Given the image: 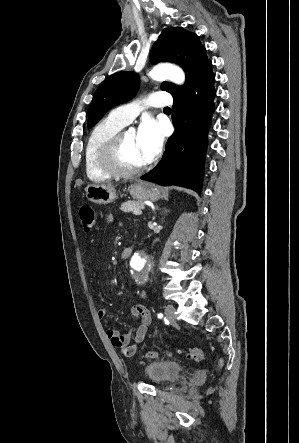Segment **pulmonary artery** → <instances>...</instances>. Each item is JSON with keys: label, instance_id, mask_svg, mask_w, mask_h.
I'll list each match as a JSON object with an SVG mask.
<instances>
[{"label": "pulmonary artery", "instance_id": "e3ab8cb5", "mask_svg": "<svg viewBox=\"0 0 299 443\" xmlns=\"http://www.w3.org/2000/svg\"><path fill=\"white\" fill-rule=\"evenodd\" d=\"M172 103V97L166 92H152L143 99L119 106L111 111L110 116L127 125L148 107H167Z\"/></svg>", "mask_w": 299, "mask_h": 443}]
</instances>
